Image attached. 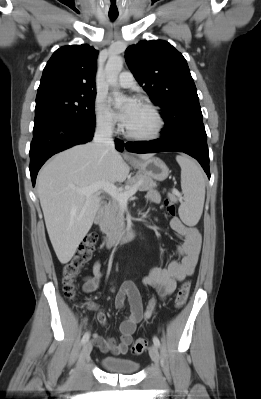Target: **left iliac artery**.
Listing matches in <instances>:
<instances>
[{"label":"left iliac artery","mask_w":261,"mask_h":399,"mask_svg":"<svg viewBox=\"0 0 261 399\" xmlns=\"http://www.w3.org/2000/svg\"><path fill=\"white\" fill-rule=\"evenodd\" d=\"M153 343L156 347H160V341L157 336L153 337Z\"/></svg>","instance_id":"44dca946"}]
</instances>
